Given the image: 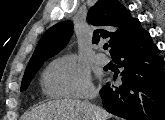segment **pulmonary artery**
<instances>
[{"label": "pulmonary artery", "instance_id": "pulmonary-artery-1", "mask_svg": "<svg viewBox=\"0 0 165 120\" xmlns=\"http://www.w3.org/2000/svg\"><path fill=\"white\" fill-rule=\"evenodd\" d=\"M95 60L100 65H106L109 62V58L103 53L97 54Z\"/></svg>", "mask_w": 165, "mask_h": 120}]
</instances>
